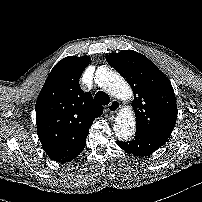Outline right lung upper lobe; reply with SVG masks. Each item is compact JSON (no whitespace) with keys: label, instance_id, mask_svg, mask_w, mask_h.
Segmentation results:
<instances>
[{"label":"right lung upper lobe","instance_id":"obj_1","mask_svg":"<svg viewBox=\"0 0 202 202\" xmlns=\"http://www.w3.org/2000/svg\"><path fill=\"white\" fill-rule=\"evenodd\" d=\"M89 56H68L52 69L36 103L37 132L42 147L54 161L69 159L83 144L103 107L79 87Z\"/></svg>","mask_w":202,"mask_h":202}]
</instances>
